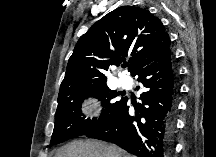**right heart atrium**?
Returning <instances> with one entry per match:
<instances>
[{
	"instance_id": "right-heart-atrium-1",
	"label": "right heart atrium",
	"mask_w": 216,
	"mask_h": 157,
	"mask_svg": "<svg viewBox=\"0 0 216 157\" xmlns=\"http://www.w3.org/2000/svg\"><path fill=\"white\" fill-rule=\"evenodd\" d=\"M101 108L97 101H93L92 103V114L98 116L100 114Z\"/></svg>"
}]
</instances>
